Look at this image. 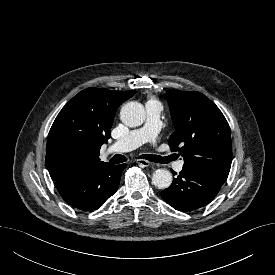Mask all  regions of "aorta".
<instances>
[{
    "mask_svg": "<svg viewBox=\"0 0 275 275\" xmlns=\"http://www.w3.org/2000/svg\"><path fill=\"white\" fill-rule=\"evenodd\" d=\"M146 118L144 106L136 101L126 103L120 111L121 121L129 127H138ZM152 183L159 189L168 188L172 183V174L166 169H157L152 176Z\"/></svg>",
    "mask_w": 275,
    "mask_h": 275,
    "instance_id": "obj_1",
    "label": "aorta"
}]
</instances>
